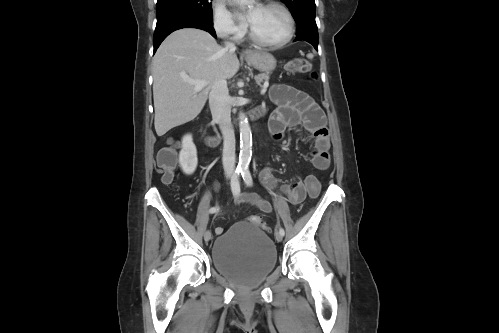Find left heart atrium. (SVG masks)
I'll return each mask as SVG.
<instances>
[{
	"label": "left heart atrium",
	"mask_w": 499,
	"mask_h": 333,
	"mask_svg": "<svg viewBox=\"0 0 499 333\" xmlns=\"http://www.w3.org/2000/svg\"><path fill=\"white\" fill-rule=\"evenodd\" d=\"M233 3H234V4H236V5H238V4H240V3H241V1H240V0H233ZM258 7H260V5H258V4H257V5L255 6V9H256V8H258ZM252 17H253V12H248L246 15H244V16H243V18H244L245 20H247L249 23L251 22Z\"/></svg>",
	"instance_id": "1"
}]
</instances>
